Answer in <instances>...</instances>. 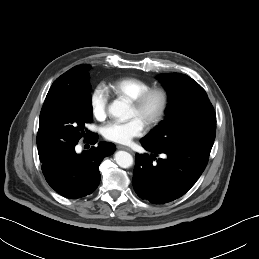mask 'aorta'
<instances>
[{
    "label": "aorta",
    "mask_w": 259,
    "mask_h": 259,
    "mask_svg": "<svg viewBox=\"0 0 259 259\" xmlns=\"http://www.w3.org/2000/svg\"><path fill=\"white\" fill-rule=\"evenodd\" d=\"M108 112L110 115L121 120H127L131 117L130 107L124 101L119 99L114 100L108 106ZM114 160L121 168H130L133 165V157L126 151H118L115 153Z\"/></svg>",
    "instance_id": "1"
}]
</instances>
